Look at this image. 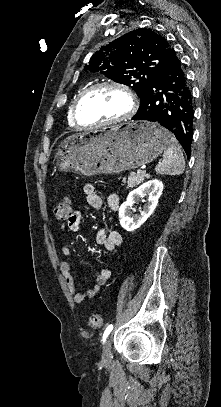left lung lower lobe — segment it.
<instances>
[{
	"mask_svg": "<svg viewBox=\"0 0 221 407\" xmlns=\"http://www.w3.org/2000/svg\"><path fill=\"white\" fill-rule=\"evenodd\" d=\"M140 100V107L132 119L155 122L171 131L189 158L193 97L183 64L175 51L171 60L150 80Z\"/></svg>",
	"mask_w": 221,
	"mask_h": 407,
	"instance_id": "1",
	"label": "left lung lower lobe"
}]
</instances>
